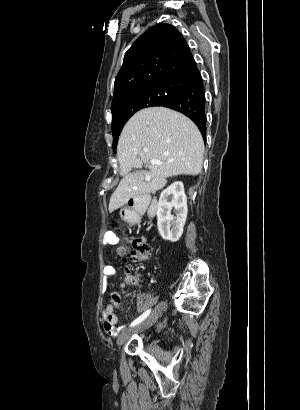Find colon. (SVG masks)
I'll use <instances>...</instances> for the list:
<instances>
[{"instance_id":"colon-1","label":"colon","mask_w":300,"mask_h":410,"mask_svg":"<svg viewBox=\"0 0 300 410\" xmlns=\"http://www.w3.org/2000/svg\"><path fill=\"white\" fill-rule=\"evenodd\" d=\"M129 252L127 261L136 263L145 261L151 253V246L142 236H130L127 238Z\"/></svg>"}]
</instances>
